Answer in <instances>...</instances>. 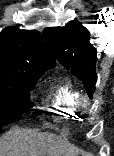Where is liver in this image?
<instances>
[{
    "label": "liver",
    "mask_w": 114,
    "mask_h": 156,
    "mask_svg": "<svg viewBox=\"0 0 114 156\" xmlns=\"http://www.w3.org/2000/svg\"><path fill=\"white\" fill-rule=\"evenodd\" d=\"M0 141V156H79L77 147L52 133L14 129Z\"/></svg>",
    "instance_id": "6515ba94"
}]
</instances>
